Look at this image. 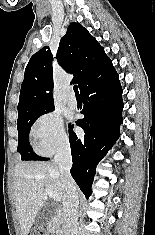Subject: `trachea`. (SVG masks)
Masks as SVG:
<instances>
[{
    "instance_id": "3493384b",
    "label": "trachea",
    "mask_w": 155,
    "mask_h": 235,
    "mask_svg": "<svg viewBox=\"0 0 155 235\" xmlns=\"http://www.w3.org/2000/svg\"><path fill=\"white\" fill-rule=\"evenodd\" d=\"M73 90H74L76 96H80V95H79V92H78V86H77V85H75V86L73 87Z\"/></svg>"
}]
</instances>
